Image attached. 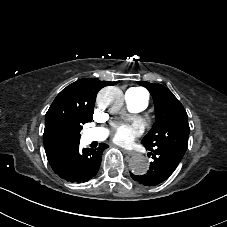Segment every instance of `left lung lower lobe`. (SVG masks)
<instances>
[{
	"label": "left lung lower lobe",
	"mask_w": 227,
	"mask_h": 227,
	"mask_svg": "<svg viewBox=\"0 0 227 227\" xmlns=\"http://www.w3.org/2000/svg\"><path fill=\"white\" fill-rule=\"evenodd\" d=\"M146 149L151 151L150 154L154 159L150 163L149 171L141 176L130 173L134 180L146 186H155L166 180L184 156L167 146Z\"/></svg>",
	"instance_id": "0a47b994"
}]
</instances>
